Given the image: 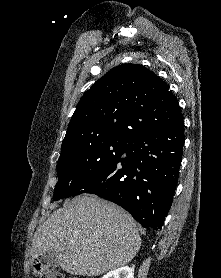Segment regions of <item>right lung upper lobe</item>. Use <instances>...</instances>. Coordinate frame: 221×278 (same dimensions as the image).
Wrapping results in <instances>:
<instances>
[{"label":"right lung upper lobe","instance_id":"right-lung-upper-lobe-1","mask_svg":"<svg viewBox=\"0 0 221 278\" xmlns=\"http://www.w3.org/2000/svg\"><path fill=\"white\" fill-rule=\"evenodd\" d=\"M183 120L179 103L160 77L139 64H122L85 92L69 123L61 151L94 138L132 137Z\"/></svg>","mask_w":221,"mask_h":278}]
</instances>
